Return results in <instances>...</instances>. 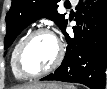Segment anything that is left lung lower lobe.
I'll use <instances>...</instances> for the list:
<instances>
[{
	"instance_id": "left-lung-lower-lobe-1",
	"label": "left lung lower lobe",
	"mask_w": 107,
	"mask_h": 89,
	"mask_svg": "<svg viewBox=\"0 0 107 89\" xmlns=\"http://www.w3.org/2000/svg\"><path fill=\"white\" fill-rule=\"evenodd\" d=\"M85 9L84 21H79L84 26L77 30L74 38L68 36L66 27L62 31L68 44L62 64L54 73L41 80L76 82L90 89H105L107 0H88Z\"/></svg>"
}]
</instances>
